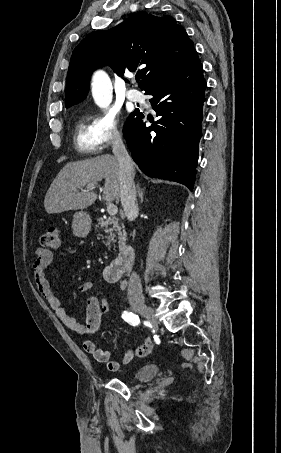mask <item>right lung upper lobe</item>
Masks as SVG:
<instances>
[{
  "instance_id": "cb5924a9",
  "label": "right lung upper lobe",
  "mask_w": 281,
  "mask_h": 453,
  "mask_svg": "<svg viewBox=\"0 0 281 453\" xmlns=\"http://www.w3.org/2000/svg\"><path fill=\"white\" fill-rule=\"evenodd\" d=\"M194 52L192 41L174 18L136 13L110 30L92 32L74 49L65 106L86 98L90 76L98 67L109 65L119 76L141 67L139 87L145 90Z\"/></svg>"
}]
</instances>
